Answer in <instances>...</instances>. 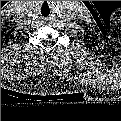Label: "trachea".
Returning <instances> with one entry per match:
<instances>
[{"label": "trachea", "instance_id": "1", "mask_svg": "<svg viewBox=\"0 0 121 121\" xmlns=\"http://www.w3.org/2000/svg\"><path fill=\"white\" fill-rule=\"evenodd\" d=\"M40 15L43 18H48L51 15V6L46 1L40 7Z\"/></svg>", "mask_w": 121, "mask_h": 121}]
</instances>
